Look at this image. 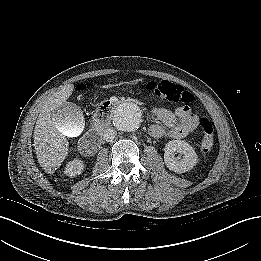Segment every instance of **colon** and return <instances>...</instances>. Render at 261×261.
Wrapping results in <instances>:
<instances>
[{"mask_svg": "<svg viewBox=\"0 0 261 261\" xmlns=\"http://www.w3.org/2000/svg\"><path fill=\"white\" fill-rule=\"evenodd\" d=\"M147 88L156 96L160 101H167L173 103L190 104L194 101L192 93L187 91L181 85L162 80V81H150L147 84ZM110 111L109 102L102 103L97 108V114L104 118ZM200 126L203 130V138L201 140V150L203 152H209L214 144V123L208 118H202L200 120Z\"/></svg>", "mask_w": 261, "mask_h": 261, "instance_id": "colon-1", "label": "colon"}]
</instances>
